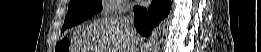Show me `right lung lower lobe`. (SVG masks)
<instances>
[{
    "label": "right lung lower lobe",
    "mask_w": 261,
    "mask_h": 52,
    "mask_svg": "<svg viewBox=\"0 0 261 52\" xmlns=\"http://www.w3.org/2000/svg\"><path fill=\"white\" fill-rule=\"evenodd\" d=\"M171 0H152L151 6L134 7V24L136 30L143 36L148 37L154 27L168 16Z\"/></svg>",
    "instance_id": "1"
}]
</instances>
